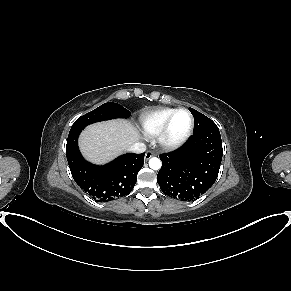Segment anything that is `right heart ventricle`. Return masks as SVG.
<instances>
[{"label":"right heart ventricle","instance_id":"obj_1","mask_svg":"<svg viewBox=\"0 0 291 291\" xmlns=\"http://www.w3.org/2000/svg\"><path fill=\"white\" fill-rule=\"evenodd\" d=\"M175 111L173 108H159L140 120V126L146 136L154 137L160 134L167 119Z\"/></svg>","mask_w":291,"mask_h":291}]
</instances>
